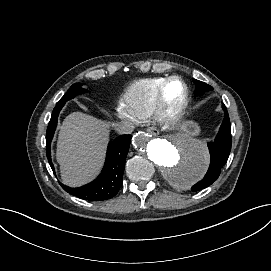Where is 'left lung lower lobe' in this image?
Returning a JSON list of instances; mask_svg holds the SVG:
<instances>
[{
	"label": "left lung lower lobe",
	"mask_w": 271,
	"mask_h": 271,
	"mask_svg": "<svg viewBox=\"0 0 271 271\" xmlns=\"http://www.w3.org/2000/svg\"><path fill=\"white\" fill-rule=\"evenodd\" d=\"M222 107L225 111L223 123L214 142L208 143L211 157L210 167L206 176L191 188L192 191L205 189L214 183L218 179L221 169L228 160L231 150V124L225 105L222 104Z\"/></svg>",
	"instance_id": "1"
}]
</instances>
